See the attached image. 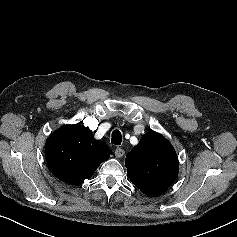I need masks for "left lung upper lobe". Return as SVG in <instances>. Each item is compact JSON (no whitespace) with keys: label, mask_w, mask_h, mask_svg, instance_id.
<instances>
[{"label":"left lung upper lobe","mask_w":237,"mask_h":237,"mask_svg":"<svg viewBox=\"0 0 237 237\" xmlns=\"http://www.w3.org/2000/svg\"><path fill=\"white\" fill-rule=\"evenodd\" d=\"M127 173L144 194L165 192L178 175V157L169 141L154 131L144 134L126 155Z\"/></svg>","instance_id":"left-lung-upper-lobe-1"}]
</instances>
